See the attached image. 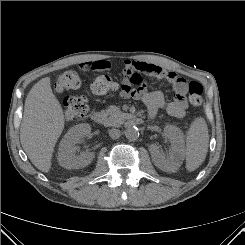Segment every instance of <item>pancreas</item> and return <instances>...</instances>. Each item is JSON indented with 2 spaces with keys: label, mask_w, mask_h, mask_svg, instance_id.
<instances>
[{
  "label": "pancreas",
  "mask_w": 245,
  "mask_h": 245,
  "mask_svg": "<svg viewBox=\"0 0 245 245\" xmlns=\"http://www.w3.org/2000/svg\"><path fill=\"white\" fill-rule=\"evenodd\" d=\"M104 124L106 126H118L127 117V114L122 112L116 106H110L107 110L102 112Z\"/></svg>",
  "instance_id": "pancreas-1"
}]
</instances>
